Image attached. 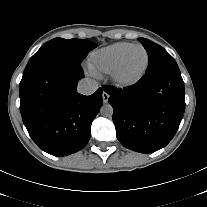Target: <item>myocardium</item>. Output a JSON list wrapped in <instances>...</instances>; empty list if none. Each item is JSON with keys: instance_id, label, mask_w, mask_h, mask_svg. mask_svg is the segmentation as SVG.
I'll return each mask as SVG.
<instances>
[{"instance_id": "1", "label": "myocardium", "mask_w": 207, "mask_h": 207, "mask_svg": "<svg viewBox=\"0 0 207 207\" xmlns=\"http://www.w3.org/2000/svg\"><path fill=\"white\" fill-rule=\"evenodd\" d=\"M137 47L141 48L145 53L144 67L141 70V72L139 74H137L135 77H132L129 79L122 78L120 76L121 68H122L126 58L130 54V52L134 48H137ZM148 67H149V54H148L147 49L142 44H133L120 57V59L118 60V62L114 66L113 70L110 72V78H111V81L113 82V84L116 85L117 87H121V88L131 87L143 79V77L145 76V74L148 70Z\"/></svg>"}]
</instances>
